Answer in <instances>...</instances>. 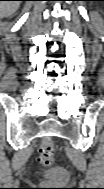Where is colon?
<instances>
[{"label":"colon","mask_w":104,"mask_h":189,"mask_svg":"<svg viewBox=\"0 0 104 189\" xmlns=\"http://www.w3.org/2000/svg\"><path fill=\"white\" fill-rule=\"evenodd\" d=\"M55 152L56 150L52 141L49 138L44 139L39 152V159L41 163L44 166H50L54 162ZM49 176L51 178L60 177L58 173H50Z\"/></svg>","instance_id":"obj_1"}]
</instances>
